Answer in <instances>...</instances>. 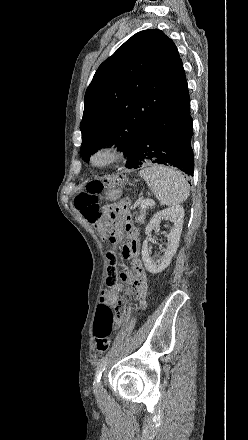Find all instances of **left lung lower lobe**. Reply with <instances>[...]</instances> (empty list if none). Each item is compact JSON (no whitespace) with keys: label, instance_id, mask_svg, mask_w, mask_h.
<instances>
[{"label":"left lung lower lobe","instance_id":"0a47b994","mask_svg":"<svg viewBox=\"0 0 248 440\" xmlns=\"http://www.w3.org/2000/svg\"><path fill=\"white\" fill-rule=\"evenodd\" d=\"M192 127L187 89L146 127L131 148L126 167L139 168L152 162L173 165L187 175H193Z\"/></svg>","mask_w":248,"mask_h":440}]
</instances>
